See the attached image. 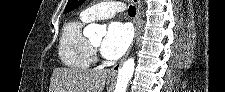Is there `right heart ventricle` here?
<instances>
[{
	"label": "right heart ventricle",
	"instance_id": "e07e8e85",
	"mask_svg": "<svg viewBox=\"0 0 225 92\" xmlns=\"http://www.w3.org/2000/svg\"><path fill=\"white\" fill-rule=\"evenodd\" d=\"M87 22L82 16L72 19L66 23L61 32L58 55L68 67L87 69L93 61L91 43L83 33Z\"/></svg>",
	"mask_w": 225,
	"mask_h": 92
}]
</instances>
